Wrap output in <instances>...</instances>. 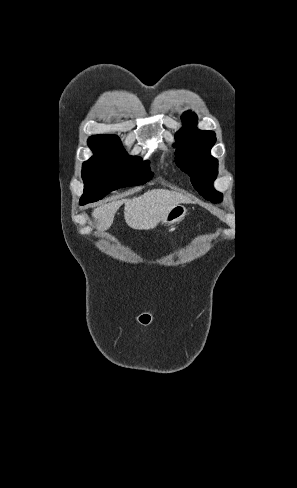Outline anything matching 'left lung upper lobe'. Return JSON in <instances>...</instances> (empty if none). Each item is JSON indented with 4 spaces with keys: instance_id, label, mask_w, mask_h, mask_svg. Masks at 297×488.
Segmentation results:
<instances>
[{
    "instance_id": "left-lung-upper-lobe-1",
    "label": "left lung upper lobe",
    "mask_w": 297,
    "mask_h": 488,
    "mask_svg": "<svg viewBox=\"0 0 297 488\" xmlns=\"http://www.w3.org/2000/svg\"><path fill=\"white\" fill-rule=\"evenodd\" d=\"M184 128L176 133V164L188 173L194 188L207 200L220 202L222 194L215 191L213 181L218 173V161L211 156L210 150L216 137L212 131H200L195 125L194 113L185 112Z\"/></svg>"
}]
</instances>
